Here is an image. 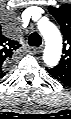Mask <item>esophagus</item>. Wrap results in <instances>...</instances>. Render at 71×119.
Here are the masks:
<instances>
[{
	"label": "esophagus",
	"mask_w": 71,
	"mask_h": 119,
	"mask_svg": "<svg viewBox=\"0 0 71 119\" xmlns=\"http://www.w3.org/2000/svg\"><path fill=\"white\" fill-rule=\"evenodd\" d=\"M42 50H43V46H40V47H32V48H31V52H32L33 54H39V53L42 52Z\"/></svg>",
	"instance_id": "1"
}]
</instances>
